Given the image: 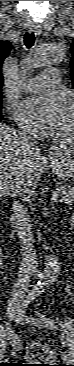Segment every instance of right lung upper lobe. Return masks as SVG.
<instances>
[{
    "label": "right lung upper lobe",
    "instance_id": "cb5924a9",
    "mask_svg": "<svg viewBox=\"0 0 74 366\" xmlns=\"http://www.w3.org/2000/svg\"><path fill=\"white\" fill-rule=\"evenodd\" d=\"M10 45H11V43L9 41L0 40V93H1L2 85L4 83V78L1 74L2 73L1 66H2L4 59L10 53V48H11Z\"/></svg>",
    "mask_w": 74,
    "mask_h": 366
}]
</instances>
